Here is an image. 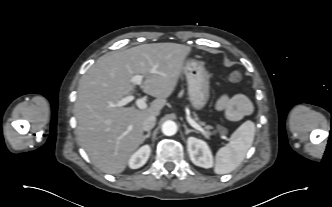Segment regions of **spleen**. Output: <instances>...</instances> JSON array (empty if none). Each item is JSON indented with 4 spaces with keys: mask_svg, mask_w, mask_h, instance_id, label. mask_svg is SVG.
Listing matches in <instances>:
<instances>
[{
    "mask_svg": "<svg viewBox=\"0 0 332 207\" xmlns=\"http://www.w3.org/2000/svg\"><path fill=\"white\" fill-rule=\"evenodd\" d=\"M255 135V125L248 120L238 127L230 137V142L216 153L214 172L227 174L235 170L244 160Z\"/></svg>",
    "mask_w": 332,
    "mask_h": 207,
    "instance_id": "1",
    "label": "spleen"
}]
</instances>
